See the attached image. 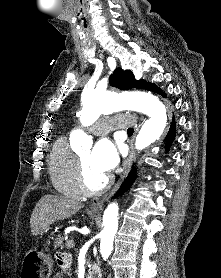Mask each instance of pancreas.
<instances>
[{"label": "pancreas", "instance_id": "cf45deb5", "mask_svg": "<svg viewBox=\"0 0 221 278\" xmlns=\"http://www.w3.org/2000/svg\"><path fill=\"white\" fill-rule=\"evenodd\" d=\"M66 240V238L65 237H63V236H58L55 240H54V247L55 248H59V247H66V248H68V249H70V248H73V245H70L69 243H68V241L65 243V245L63 244V242Z\"/></svg>", "mask_w": 221, "mask_h": 278}]
</instances>
